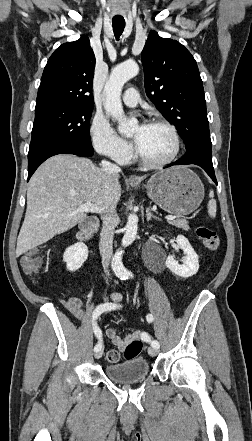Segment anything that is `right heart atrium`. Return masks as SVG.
Instances as JSON below:
<instances>
[{"label":"right heart atrium","mask_w":252,"mask_h":441,"mask_svg":"<svg viewBox=\"0 0 252 441\" xmlns=\"http://www.w3.org/2000/svg\"><path fill=\"white\" fill-rule=\"evenodd\" d=\"M89 132L92 145L99 154L119 164L127 163L131 159V146L118 136L106 117L95 115Z\"/></svg>","instance_id":"right-heart-atrium-1"}]
</instances>
